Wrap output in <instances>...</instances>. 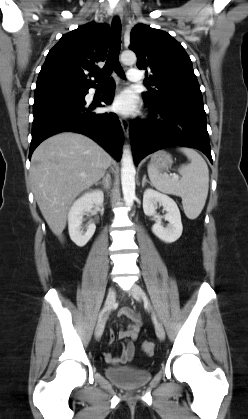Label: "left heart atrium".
Masks as SVG:
<instances>
[{
  "mask_svg": "<svg viewBox=\"0 0 248 419\" xmlns=\"http://www.w3.org/2000/svg\"><path fill=\"white\" fill-rule=\"evenodd\" d=\"M137 104L136 95L130 90H125L115 97L112 109L120 114L128 115L136 111Z\"/></svg>",
  "mask_w": 248,
  "mask_h": 419,
  "instance_id": "left-heart-atrium-1",
  "label": "left heart atrium"
}]
</instances>
